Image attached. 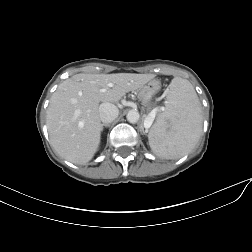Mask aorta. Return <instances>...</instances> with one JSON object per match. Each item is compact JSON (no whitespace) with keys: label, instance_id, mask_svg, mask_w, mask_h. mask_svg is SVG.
<instances>
[{"label":"aorta","instance_id":"762f6f07","mask_svg":"<svg viewBox=\"0 0 252 252\" xmlns=\"http://www.w3.org/2000/svg\"><path fill=\"white\" fill-rule=\"evenodd\" d=\"M126 118H127L128 122L134 124V123L138 122L140 115H139L138 111L130 110L126 115Z\"/></svg>","mask_w":252,"mask_h":252}]
</instances>
